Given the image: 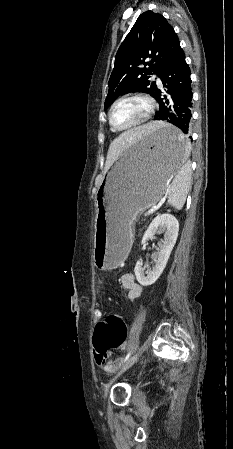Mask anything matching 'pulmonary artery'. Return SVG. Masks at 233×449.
I'll return each instance as SVG.
<instances>
[{
    "label": "pulmonary artery",
    "instance_id": "obj_1",
    "mask_svg": "<svg viewBox=\"0 0 233 449\" xmlns=\"http://www.w3.org/2000/svg\"><path fill=\"white\" fill-rule=\"evenodd\" d=\"M155 77H156V80H157L158 85H159L160 87H162L161 80H160L157 76H155Z\"/></svg>",
    "mask_w": 233,
    "mask_h": 449
}]
</instances>
